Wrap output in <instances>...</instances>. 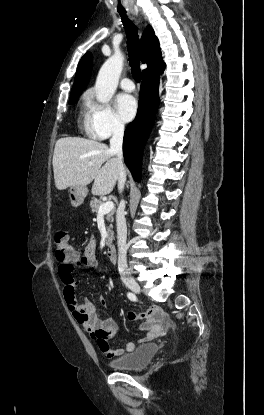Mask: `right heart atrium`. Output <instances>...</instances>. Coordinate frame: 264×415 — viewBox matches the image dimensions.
<instances>
[{
  "mask_svg": "<svg viewBox=\"0 0 264 415\" xmlns=\"http://www.w3.org/2000/svg\"><path fill=\"white\" fill-rule=\"evenodd\" d=\"M91 125L99 138H107L123 132L125 125L117 113L107 104L91 103Z\"/></svg>",
  "mask_w": 264,
  "mask_h": 415,
  "instance_id": "1",
  "label": "right heart atrium"
}]
</instances>
